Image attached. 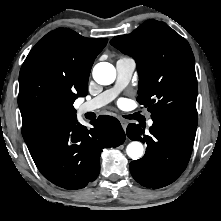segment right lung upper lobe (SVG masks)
<instances>
[{
    "label": "right lung upper lobe",
    "mask_w": 221,
    "mask_h": 221,
    "mask_svg": "<svg viewBox=\"0 0 221 221\" xmlns=\"http://www.w3.org/2000/svg\"><path fill=\"white\" fill-rule=\"evenodd\" d=\"M107 41L58 28L32 48L19 74L23 138L49 121L57 107L87 95L93 62Z\"/></svg>",
    "instance_id": "1"
}]
</instances>
